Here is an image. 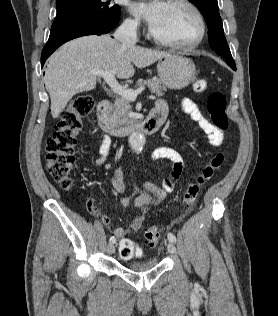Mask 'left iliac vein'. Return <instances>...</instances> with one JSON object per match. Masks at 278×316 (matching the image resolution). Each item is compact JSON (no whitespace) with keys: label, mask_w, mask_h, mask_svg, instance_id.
I'll return each instance as SVG.
<instances>
[{"label":"left iliac vein","mask_w":278,"mask_h":316,"mask_svg":"<svg viewBox=\"0 0 278 316\" xmlns=\"http://www.w3.org/2000/svg\"><path fill=\"white\" fill-rule=\"evenodd\" d=\"M167 250L170 254H175L176 253V247L173 244V242H169L167 245Z\"/></svg>","instance_id":"obj_1"}]
</instances>
